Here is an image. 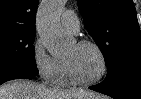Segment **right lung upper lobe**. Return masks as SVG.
I'll list each match as a JSON object with an SVG mask.
<instances>
[{
    "mask_svg": "<svg viewBox=\"0 0 141 99\" xmlns=\"http://www.w3.org/2000/svg\"><path fill=\"white\" fill-rule=\"evenodd\" d=\"M38 3L39 0H0V28L35 29Z\"/></svg>",
    "mask_w": 141,
    "mask_h": 99,
    "instance_id": "1",
    "label": "right lung upper lobe"
}]
</instances>
